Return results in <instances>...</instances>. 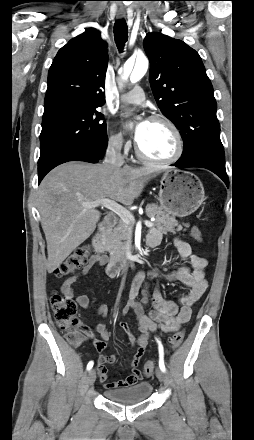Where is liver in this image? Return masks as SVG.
Masks as SVG:
<instances>
[{
  "label": "liver",
  "instance_id": "6515ba94",
  "mask_svg": "<svg viewBox=\"0 0 254 440\" xmlns=\"http://www.w3.org/2000/svg\"><path fill=\"white\" fill-rule=\"evenodd\" d=\"M154 172L147 167L69 162L48 173L38 189L48 272L58 268L94 232L101 213L95 207H84V203L110 198L131 205Z\"/></svg>",
  "mask_w": 254,
  "mask_h": 440
}]
</instances>
